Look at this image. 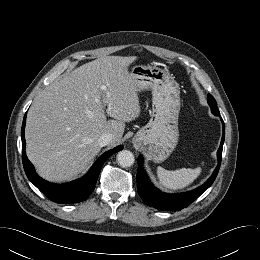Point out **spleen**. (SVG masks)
I'll return each instance as SVG.
<instances>
[{
	"mask_svg": "<svg viewBox=\"0 0 260 260\" xmlns=\"http://www.w3.org/2000/svg\"><path fill=\"white\" fill-rule=\"evenodd\" d=\"M201 168L195 169L181 168L177 170H166L162 167L157 168V176L161 185L167 189L177 190L187 187L201 173Z\"/></svg>",
	"mask_w": 260,
	"mask_h": 260,
	"instance_id": "spleen-1",
	"label": "spleen"
}]
</instances>
